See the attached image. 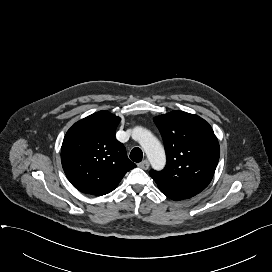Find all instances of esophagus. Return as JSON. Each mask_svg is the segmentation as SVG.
Segmentation results:
<instances>
[{
  "instance_id": "esophagus-1",
  "label": "esophagus",
  "mask_w": 272,
  "mask_h": 272,
  "mask_svg": "<svg viewBox=\"0 0 272 272\" xmlns=\"http://www.w3.org/2000/svg\"><path fill=\"white\" fill-rule=\"evenodd\" d=\"M138 166L144 170H147L149 168V162L148 160H143L141 163L138 164Z\"/></svg>"
}]
</instances>
